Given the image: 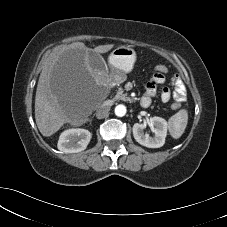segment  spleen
<instances>
[{
    "label": "spleen",
    "mask_w": 227,
    "mask_h": 227,
    "mask_svg": "<svg viewBox=\"0 0 227 227\" xmlns=\"http://www.w3.org/2000/svg\"><path fill=\"white\" fill-rule=\"evenodd\" d=\"M188 123V113L182 109L169 119V132L171 136L178 139L182 136Z\"/></svg>",
    "instance_id": "obj_1"
}]
</instances>
